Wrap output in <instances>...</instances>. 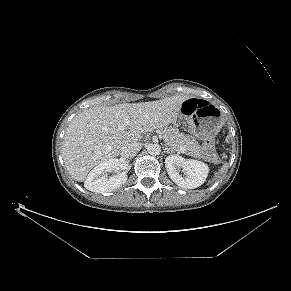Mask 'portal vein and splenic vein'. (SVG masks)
I'll use <instances>...</instances> for the list:
<instances>
[{
    "mask_svg": "<svg viewBox=\"0 0 291 291\" xmlns=\"http://www.w3.org/2000/svg\"><path fill=\"white\" fill-rule=\"evenodd\" d=\"M129 123H130V122H129L128 120L123 121V123L119 126V129H120V130H125L126 126H128ZM179 151H180L181 153H185V152H186V150H185L184 147H180V148H179Z\"/></svg>",
    "mask_w": 291,
    "mask_h": 291,
    "instance_id": "obj_1",
    "label": "portal vein and splenic vein"
}]
</instances>
